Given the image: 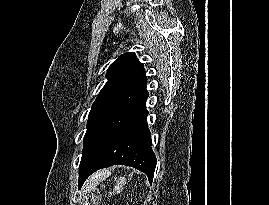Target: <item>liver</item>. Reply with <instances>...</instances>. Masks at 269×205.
Instances as JSON below:
<instances>
[{
    "mask_svg": "<svg viewBox=\"0 0 269 205\" xmlns=\"http://www.w3.org/2000/svg\"><path fill=\"white\" fill-rule=\"evenodd\" d=\"M105 176H106V172H99V173L95 174V175L90 179V183L98 182V181L102 180L103 178H105Z\"/></svg>",
    "mask_w": 269,
    "mask_h": 205,
    "instance_id": "liver-1",
    "label": "liver"
}]
</instances>
